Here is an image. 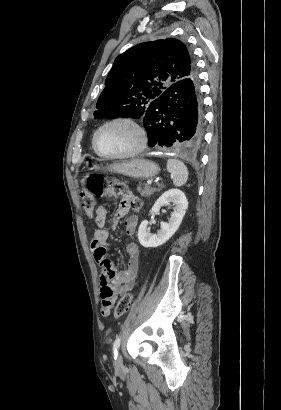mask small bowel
I'll list each match as a JSON object with an SVG mask.
<instances>
[{"label":"small bowel","instance_id":"c3829d8e","mask_svg":"<svg viewBox=\"0 0 281 410\" xmlns=\"http://www.w3.org/2000/svg\"><path fill=\"white\" fill-rule=\"evenodd\" d=\"M141 202L132 193H127L122 197L117 211L112 217V228L124 218L131 210L134 214L125 219V231L130 241L126 246L128 261L125 266L118 271L112 261L107 257V239L110 230L106 228L107 211L104 206H99L96 210L95 224L97 229L94 232L91 241V250L95 261L101 267L100 286L102 298V314L107 316L109 311L118 296L129 292L135 284V278L139 264V249L134 241V234L138 225L137 212L140 210ZM110 299L111 307L107 312H103V303Z\"/></svg>","mask_w":281,"mask_h":410}]
</instances>
